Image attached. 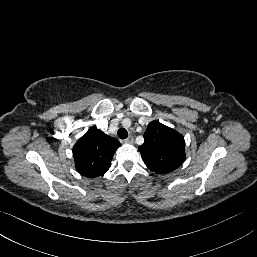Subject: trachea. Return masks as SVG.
Returning a JSON list of instances; mask_svg holds the SVG:
<instances>
[{
  "mask_svg": "<svg viewBox=\"0 0 257 257\" xmlns=\"http://www.w3.org/2000/svg\"><path fill=\"white\" fill-rule=\"evenodd\" d=\"M117 134L120 139H126L128 137V132L125 128H120Z\"/></svg>",
  "mask_w": 257,
  "mask_h": 257,
  "instance_id": "obj_1",
  "label": "trachea"
}]
</instances>
